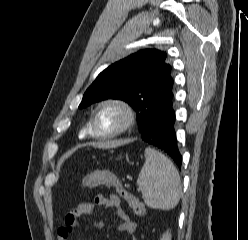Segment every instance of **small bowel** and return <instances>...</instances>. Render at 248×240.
I'll list each match as a JSON object with an SVG mask.
<instances>
[{
    "instance_id": "1",
    "label": "small bowel",
    "mask_w": 248,
    "mask_h": 240,
    "mask_svg": "<svg viewBox=\"0 0 248 240\" xmlns=\"http://www.w3.org/2000/svg\"><path fill=\"white\" fill-rule=\"evenodd\" d=\"M96 207L113 208L120 219L117 227L118 231L126 233L131 236V240H136L134 233L136 231V223L131 220L128 214L121 206L120 199L115 195L104 196L98 195L93 203H80L74 209L70 210L64 219V223L57 231L58 240H69L72 236L78 219L85 215H90L94 212ZM95 226L101 227L102 222L95 220Z\"/></svg>"
}]
</instances>
